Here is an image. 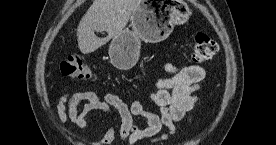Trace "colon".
Segmentation results:
<instances>
[{"mask_svg": "<svg viewBox=\"0 0 276 145\" xmlns=\"http://www.w3.org/2000/svg\"><path fill=\"white\" fill-rule=\"evenodd\" d=\"M218 51L217 43L204 32H197L194 37L192 59L202 64L211 59ZM62 75L75 79H91V70L85 61L77 55L65 58L60 64Z\"/></svg>", "mask_w": 276, "mask_h": 145, "instance_id": "1", "label": "colon"}]
</instances>
